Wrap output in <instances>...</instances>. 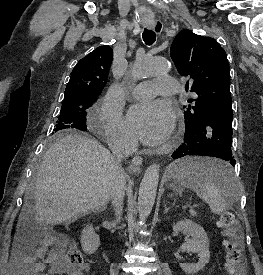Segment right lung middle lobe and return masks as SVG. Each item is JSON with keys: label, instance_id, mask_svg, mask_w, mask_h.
<instances>
[{"label": "right lung middle lobe", "instance_id": "right-lung-middle-lobe-1", "mask_svg": "<svg viewBox=\"0 0 263 275\" xmlns=\"http://www.w3.org/2000/svg\"><path fill=\"white\" fill-rule=\"evenodd\" d=\"M97 96L79 95L65 98L62 102V107L58 122L52 134L54 138H59L66 130L79 129L86 131V114L95 102Z\"/></svg>", "mask_w": 263, "mask_h": 275}]
</instances>
